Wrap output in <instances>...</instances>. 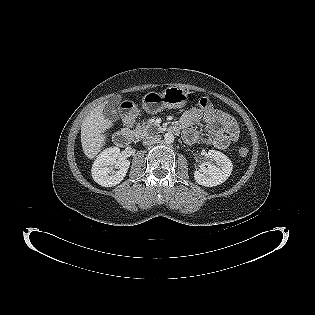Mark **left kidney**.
Here are the masks:
<instances>
[{
	"label": "left kidney",
	"instance_id": "obj_1",
	"mask_svg": "<svg viewBox=\"0 0 315 315\" xmlns=\"http://www.w3.org/2000/svg\"><path fill=\"white\" fill-rule=\"evenodd\" d=\"M207 156L215 161L202 163L194 172L195 181L205 187H213L225 182L231 175L233 164L223 153L216 150H209Z\"/></svg>",
	"mask_w": 315,
	"mask_h": 315
}]
</instances>
